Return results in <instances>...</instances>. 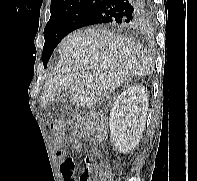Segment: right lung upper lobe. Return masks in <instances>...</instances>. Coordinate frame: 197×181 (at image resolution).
Returning <instances> with one entry per match:
<instances>
[{
	"label": "right lung upper lobe",
	"instance_id": "1",
	"mask_svg": "<svg viewBox=\"0 0 197 181\" xmlns=\"http://www.w3.org/2000/svg\"><path fill=\"white\" fill-rule=\"evenodd\" d=\"M105 0H52L50 11L51 13L67 10L84 4H101ZM141 28V27H139ZM138 29L135 27L130 30Z\"/></svg>",
	"mask_w": 197,
	"mask_h": 181
}]
</instances>
